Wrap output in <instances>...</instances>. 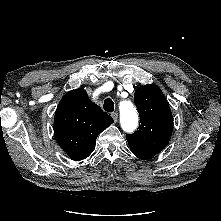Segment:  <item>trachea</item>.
Segmentation results:
<instances>
[{
    "label": "trachea",
    "instance_id": "3493384b",
    "mask_svg": "<svg viewBox=\"0 0 221 221\" xmlns=\"http://www.w3.org/2000/svg\"><path fill=\"white\" fill-rule=\"evenodd\" d=\"M103 108L106 112H113L114 102L110 98L105 99Z\"/></svg>",
    "mask_w": 221,
    "mask_h": 221
}]
</instances>
